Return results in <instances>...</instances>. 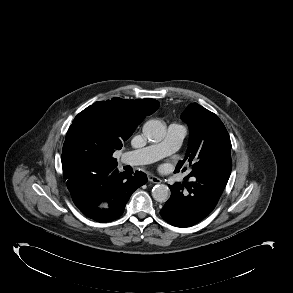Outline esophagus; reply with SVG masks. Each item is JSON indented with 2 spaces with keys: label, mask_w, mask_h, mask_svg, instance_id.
Returning <instances> with one entry per match:
<instances>
[{
  "label": "esophagus",
  "mask_w": 293,
  "mask_h": 293,
  "mask_svg": "<svg viewBox=\"0 0 293 293\" xmlns=\"http://www.w3.org/2000/svg\"><path fill=\"white\" fill-rule=\"evenodd\" d=\"M148 180L149 182L155 183V184L161 183V179L153 175H148Z\"/></svg>",
  "instance_id": "obj_1"
}]
</instances>
